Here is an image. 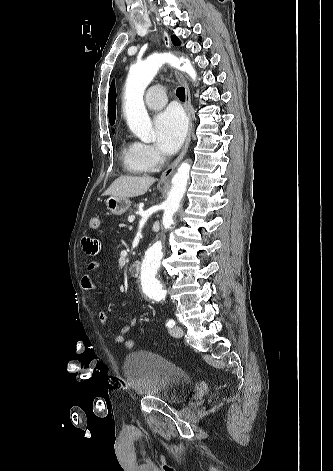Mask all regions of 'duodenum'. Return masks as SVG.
<instances>
[{
    "label": "duodenum",
    "instance_id": "410a0bca",
    "mask_svg": "<svg viewBox=\"0 0 333 471\" xmlns=\"http://www.w3.org/2000/svg\"><path fill=\"white\" fill-rule=\"evenodd\" d=\"M142 263L141 261H134L129 264L128 271L131 276H138L141 273Z\"/></svg>",
    "mask_w": 333,
    "mask_h": 471
}]
</instances>
